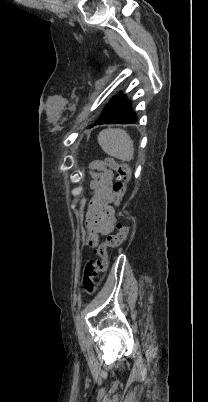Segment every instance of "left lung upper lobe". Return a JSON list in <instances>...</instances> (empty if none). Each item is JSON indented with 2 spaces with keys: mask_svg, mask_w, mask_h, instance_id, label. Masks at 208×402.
<instances>
[{
  "mask_svg": "<svg viewBox=\"0 0 208 402\" xmlns=\"http://www.w3.org/2000/svg\"><path fill=\"white\" fill-rule=\"evenodd\" d=\"M125 97V95H121V96H116L113 98V100L107 105L102 117L104 115H106L115 105H117L123 98ZM101 117V118H102Z\"/></svg>",
  "mask_w": 208,
  "mask_h": 402,
  "instance_id": "obj_1",
  "label": "left lung upper lobe"
}]
</instances>
